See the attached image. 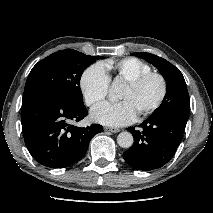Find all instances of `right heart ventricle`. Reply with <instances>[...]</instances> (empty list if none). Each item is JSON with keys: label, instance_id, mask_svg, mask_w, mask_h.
<instances>
[{"label": "right heart ventricle", "instance_id": "1", "mask_svg": "<svg viewBox=\"0 0 213 213\" xmlns=\"http://www.w3.org/2000/svg\"><path fill=\"white\" fill-rule=\"evenodd\" d=\"M102 66L106 73L108 71H112L115 78L122 79L126 82L138 77L141 74L151 71V66L148 63L134 57L104 63Z\"/></svg>", "mask_w": 213, "mask_h": 213}]
</instances>
